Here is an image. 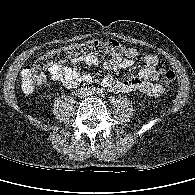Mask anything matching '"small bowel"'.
Returning <instances> with one entry per match:
<instances>
[{"mask_svg": "<svg viewBox=\"0 0 195 195\" xmlns=\"http://www.w3.org/2000/svg\"><path fill=\"white\" fill-rule=\"evenodd\" d=\"M140 56L139 50L127 48L123 55H112L102 65L108 71L127 69L135 64V58ZM143 67L136 76L122 81L115 80L112 76L103 79V85L115 93L140 92L149 97L156 98L163 92V88L157 83L165 73L164 69L157 68L159 59L156 55L147 53L142 56ZM84 63L88 67L98 66L100 60L95 55L78 56L73 59L72 65H55L48 69L52 79L66 88H76L81 83H91L93 77L89 73H81L77 65Z\"/></svg>", "mask_w": 195, "mask_h": 195, "instance_id": "c3829d8e", "label": "small bowel"}]
</instances>
